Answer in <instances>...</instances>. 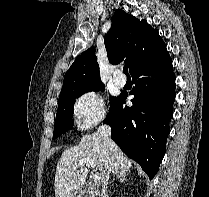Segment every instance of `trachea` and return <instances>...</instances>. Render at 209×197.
<instances>
[{
  "mask_svg": "<svg viewBox=\"0 0 209 197\" xmlns=\"http://www.w3.org/2000/svg\"><path fill=\"white\" fill-rule=\"evenodd\" d=\"M123 72H124L127 76H129V74H128V67H127V66H124V67H123Z\"/></svg>",
  "mask_w": 209,
  "mask_h": 197,
  "instance_id": "3493384b",
  "label": "trachea"
}]
</instances>
